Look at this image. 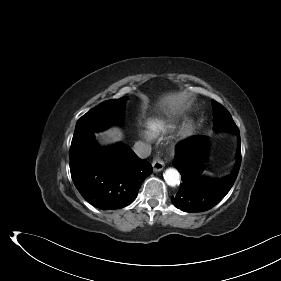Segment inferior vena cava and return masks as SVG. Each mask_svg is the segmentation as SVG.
<instances>
[{"label": "inferior vena cava", "instance_id": "1", "mask_svg": "<svg viewBox=\"0 0 281 281\" xmlns=\"http://www.w3.org/2000/svg\"><path fill=\"white\" fill-rule=\"evenodd\" d=\"M151 145L138 141L134 144L133 150L140 158H147L151 154Z\"/></svg>", "mask_w": 281, "mask_h": 281}]
</instances>
